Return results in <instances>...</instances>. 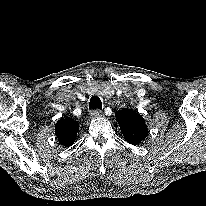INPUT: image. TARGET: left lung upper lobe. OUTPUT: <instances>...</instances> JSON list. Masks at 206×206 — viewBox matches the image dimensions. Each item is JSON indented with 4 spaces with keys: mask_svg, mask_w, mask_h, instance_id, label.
Instances as JSON below:
<instances>
[{
    "mask_svg": "<svg viewBox=\"0 0 206 206\" xmlns=\"http://www.w3.org/2000/svg\"><path fill=\"white\" fill-rule=\"evenodd\" d=\"M115 116L123 136L128 143L139 145L148 136V128L145 120L138 112L124 108L118 110Z\"/></svg>",
    "mask_w": 206,
    "mask_h": 206,
    "instance_id": "obj_1",
    "label": "left lung upper lobe"
}]
</instances>
